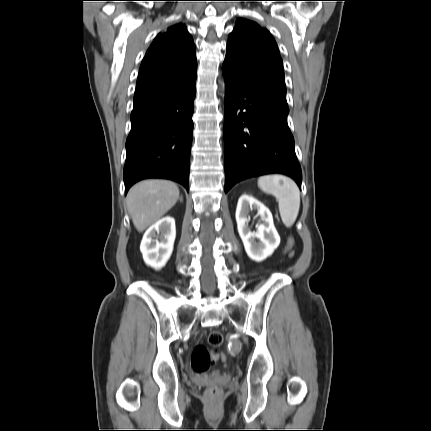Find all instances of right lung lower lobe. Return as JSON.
Listing matches in <instances>:
<instances>
[{
  "label": "right lung lower lobe",
  "mask_w": 431,
  "mask_h": 431,
  "mask_svg": "<svg viewBox=\"0 0 431 431\" xmlns=\"http://www.w3.org/2000/svg\"><path fill=\"white\" fill-rule=\"evenodd\" d=\"M196 79L175 95L131 113L126 141L125 194L146 178L170 179L189 190Z\"/></svg>",
  "instance_id": "right-lung-lower-lobe-1"
}]
</instances>
